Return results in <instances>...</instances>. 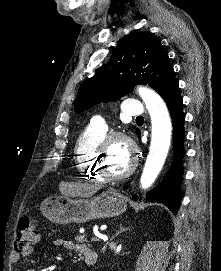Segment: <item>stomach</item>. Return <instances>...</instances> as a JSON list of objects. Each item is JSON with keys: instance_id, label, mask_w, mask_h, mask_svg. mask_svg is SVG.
Wrapping results in <instances>:
<instances>
[{"instance_id": "obj_1", "label": "stomach", "mask_w": 221, "mask_h": 271, "mask_svg": "<svg viewBox=\"0 0 221 271\" xmlns=\"http://www.w3.org/2000/svg\"><path fill=\"white\" fill-rule=\"evenodd\" d=\"M41 211L44 217L55 223H85L90 219H103L121 215L127 203L117 189H106L91 199H70V197H47Z\"/></svg>"}]
</instances>
